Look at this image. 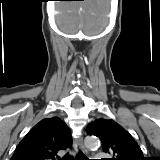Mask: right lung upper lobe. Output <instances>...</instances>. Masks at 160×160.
<instances>
[{
  "label": "right lung upper lobe",
  "mask_w": 160,
  "mask_h": 160,
  "mask_svg": "<svg viewBox=\"0 0 160 160\" xmlns=\"http://www.w3.org/2000/svg\"><path fill=\"white\" fill-rule=\"evenodd\" d=\"M71 147V131L65 122L58 117L47 118L26 134L11 160H55L59 151Z\"/></svg>",
  "instance_id": "obj_1"
}]
</instances>
